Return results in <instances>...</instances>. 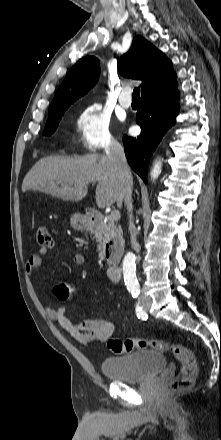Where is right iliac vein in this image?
I'll return each mask as SVG.
<instances>
[{"instance_id":"right-iliac-vein-1","label":"right iliac vein","mask_w":221,"mask_h":440,"mask_svg":"<svg viewBox=\"0 0 221 440\" xmlns=\"http://www.w3.org/2000/svg\"><path fill=\"white\" fill-rule=\"evenodd\" d=\"M142 305L146 308L148 306V302H143Z\"/></svg>"}]
</instances>
